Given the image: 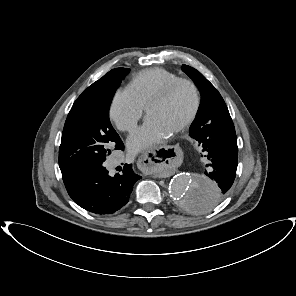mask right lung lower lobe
<instances>
[{"label":"right lung lower lobe","instance_id":"1","mask_svg":"<svg viewBox=\"0 0 296 296\" xmlns=\"http://www.w3.org/2000/svg\"><path fill=\"white\" fill-rule=\"evenodd\" d=\"M141 179L132 165H125L121 174H108L104 161L78 169L63 176L72 200L85 210L95 214H112L129 201L134 183Z\"/></svg>","mask_w":296,"mask_h":296}]
</instances>
